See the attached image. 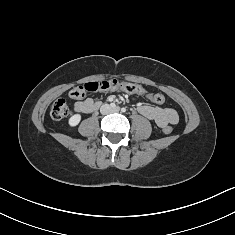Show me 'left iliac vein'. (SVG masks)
I'll return each mask as SVG.
<instances>
[{
	"instance_id": "left-iliac-vein-1",
	"label": "left iliac vein",
	"mask_w": 235,
	"mask_h": 235,
	"mask_svg": "<svg viewBox=\"0 0 235 235\" xmlns=\"http://www.w3.org/2000/svg\"><path fill=\"white\" fill-rule=\"evenodd\" d=\"M113 112H119L120 111V108L119 107H115L112 109Z\"/></svg>"
}]
</instances>
